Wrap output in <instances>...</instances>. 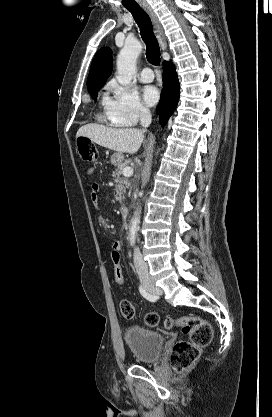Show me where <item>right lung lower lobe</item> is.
Here are the masks:
<instances>
[{
  "label": "right lung lower lobe",
  "mask_w": 272,
  "mask_h": 417,
  "mask_svg": "<svg viewBox=\"0 0 272 417\" xmlns=\"http://www.w3.org/2000/svg\"><path fill=\"white\" fill-rule=\"evenodd\" d=\"M163 89L161 92L160 102L156 108L157 114L160 116V123L164 126L169 117L174 112L179 100V81L175 71V67L171 62H164L163 65Z\"/></svg>",
  "instance_id": "right-lung-lower-lobe-1"
}]
</instances>
